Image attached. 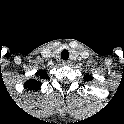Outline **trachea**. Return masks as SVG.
Returning a JSON list of instances; mask_svg holds the SVG:
<instances>
[{"label": "trachea", "mask_w": 124, "mask_h": 124, "mask_svg": "<svg viewBox=\"0 0 124 124\" xmlns=\"http://www.w3.org/2000/svg\"><path fill=\"white\" fill-rule=\"evenodd\" d=\"M68 58H69L68 50H66V49L62 50V52H61V59L68 60Z\"/></svg>", "instance_id": "obj_1"}]
</instances>
